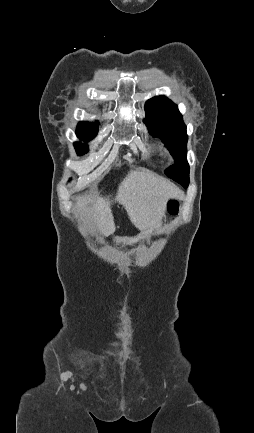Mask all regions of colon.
<instances>
[{"label":"colon","mask_w":254,"mask_h":433,"mask_svg":"<svg viewBox=\"0 0 254 433\" xmlns=\"http://www.w3.org/2000/svg\"><path fill=\"white\" fill-rule=\"evenodd\" d=\"M179 208V202L175 199H171L168 202V211L171 215H175Z\"/></svg>","instance_id":"5ec220e1"}]
</instances>
